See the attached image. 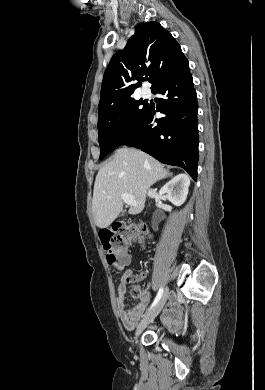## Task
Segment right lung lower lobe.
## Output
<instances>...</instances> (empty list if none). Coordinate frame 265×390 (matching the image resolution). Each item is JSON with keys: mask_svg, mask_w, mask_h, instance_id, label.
<instances>
[{"mask_svg": "<svg viewBox=\"0 0 265 390\" xmlns=\"http://www.w3.org/2000/svg\"><path fill=\"white\" fill-rule=\"evenodd\" d=\"M152 92L163 95L157 100V111L165 117L154 119L155 110L149 106L145 118L121 145L134 146L162 163L182 167L196 180L198 104L188 61Z\"/></svg>", "mask_w": 265, "mask_h": 390, "instance_id": "98d812e1", "label": "right lung lower lobe"}]
</instances>
